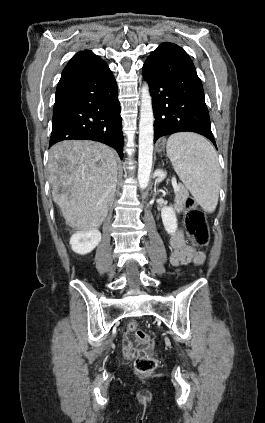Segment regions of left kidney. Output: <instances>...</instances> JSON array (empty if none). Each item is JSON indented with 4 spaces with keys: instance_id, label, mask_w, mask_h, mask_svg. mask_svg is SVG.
<instances>
[{
    "instance_id": "left-kidney-1",
    "label": "left kidney",
    "mask_w": 265,
    "mask_h": 423,
    "mask_svg": "<svg viewBox=\"0 0 265 423\" xmlns=\"http://www.w3.org/2000/svg\"><path fill=\"white\" fill-rule=\"evenodd\" d=\"M154 177L156 178V182H162L166 177V172L162 169H157L154 172ZM161 217L165 230L169 234H174L178 228L175 208L172 205L163 207L161 210Z\"/></svg>"
}]
</instances>
